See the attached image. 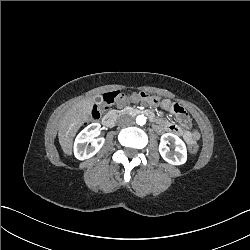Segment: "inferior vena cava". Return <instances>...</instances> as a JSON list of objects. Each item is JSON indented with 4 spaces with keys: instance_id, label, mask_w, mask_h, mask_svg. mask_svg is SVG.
<instances>
[{
    "instance_id": "obj_1",
    "label": "inferior vena cava",
    "mask_w": 250,
    "mask_h": 250,
    "mask_svg": "<svg viewBox=\"0 0 250 250\" xmlns=\"http://www.w3.org/2000/svg\"><path fill=\"white\" fill-rule=\"evenodd\" d=\"M133 122V118L130 115H122L117 119V124L119 126H127Z\"/></svg>"
}]
</instances>
